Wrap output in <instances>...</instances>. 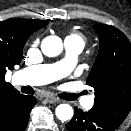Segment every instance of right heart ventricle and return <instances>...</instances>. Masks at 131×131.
<instances>
[{
	"mask_svg": "<svg viewBox=\"0 0 131 131\" xmlns=\"http://www.w3.org/2000/svg\"><path fill=\"white\" fill-rule=\"evenodd\" d=\"M67 39L79 41V42H81L83 44H85V42H86V37L83 34H81L79 32H76V31L70 32L66 36L65 40H67Z\"/></svg>",
	"mask_w": 131,
	"mask_h": 131,
	"instance_id": "obj_1",
	"label": "right heart ventricle"
}]
</instances>
